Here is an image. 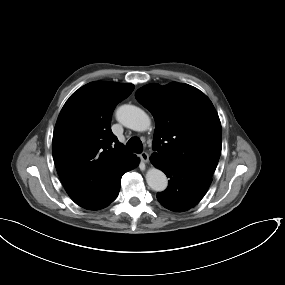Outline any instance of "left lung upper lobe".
Segmentation results:
<instances>
[{
	"label": "left lung upper lobe",
	"instance_id": "left-lung-upper-lobe-1",
	"mask_svg": "<svg viewBox=\"0 0 285 285\" xmlns=\"http://www.w3.org/2000/svg\"><path fill=\"white\" fill-rule=\"evenodd\" d=\"M135 97L156 121L151 157L212 177L221 153L222 130L209 98L178 82L146 85Z\"/></svg>",
	"mask_w": 285,
	"mask_h": 285
}]
</instances>
